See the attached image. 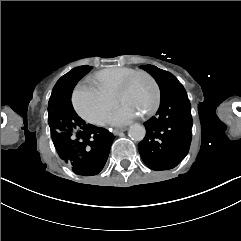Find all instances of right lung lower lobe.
<instances>
[{"label": "right lung lower lobe", "instance_id": "obj_1", "mask_svg": "<svg viewBox=\"0 0 241 241\" xmlns=\"http://www.w3.org/2000/svg\"><path fill=\"white\" fill-rule=\"evenodd\" d=\"M90 70L89 66L74 68L67 80L69 91L72 92ZM62 114L65 131L54 144L60 158L69 163L78 175L98 174L107 161L115 136L106 129L87 125L74 110H64Z\"/></svg>", "mask_w": 241, "mask_h": 241}]
</instances>
